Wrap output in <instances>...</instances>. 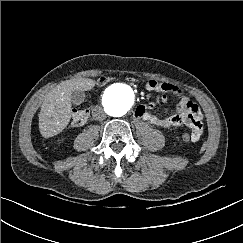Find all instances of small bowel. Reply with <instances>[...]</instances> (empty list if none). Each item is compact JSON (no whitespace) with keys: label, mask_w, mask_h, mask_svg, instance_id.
<instances>
[{"label":"small bowel","mask_w":243,"mask_h":243,"mask_svg":"<svg viewBox=\"0 0 243 243\" xmlns=\"http://www.w3.org/2000/svg\"><path fill=\"white\" fill-rule=\"evenodd\" d=\"M146 89L161 94L163 102L167 101V94H172L179 99L176 109L169 115L159 117L149 112L154 108V103L149 102L136 109V116L149 121L155 126L172 127L185 125L190 129L192 142H197L204 132L203 114L199 106L194 103L178 86L167 82L150 80Z\"/></svg>","instance_id":"c3829d8e"}]
</instances>
